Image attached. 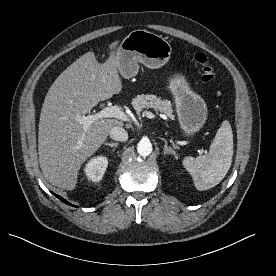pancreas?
Instances as JSON below:
<instances>
[{
    "mask_svg": "<svg viewBox=\"0 0 276 276\" xmlns=\"http://www.w3.org/2000/svg\"><path fill=\"white\" fill-rule=\"evenodd\" d=\"M132 106L137 113L142 112L144 109H154L156 111L162 112L169 118L173 119V109L172 104L168 100H162L155 95L141 94L137 95L132 100Z\"/></svg>",
    "mask_w": 276,
    "mask_h": 276,
    "instance_id": "obj_1",
    "label": "pancreas"
}]
</instances>
